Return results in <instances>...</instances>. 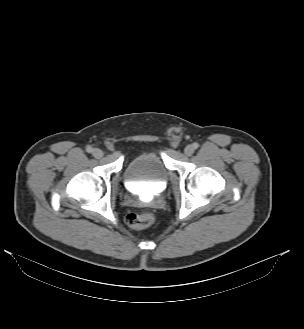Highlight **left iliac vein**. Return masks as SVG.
<instances>
[{
	"label": "left iliac vein",
	"mask_w": 304,
	"mask_h": 329,
	"mask_svg": "<svg viewBox=\"0 0 304 329\" xmlns=\"http://www.w3.org/2000/svg\"><path fill=\"white\" fill-rule=\"evenodd\" d=\"M184 153L186 156H191L194 153V148L192 145H188L184 149Z\"/></svg>",
	"instance_id": "obj_1"
}]
</instances>
